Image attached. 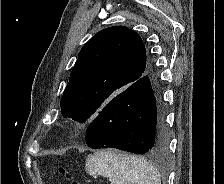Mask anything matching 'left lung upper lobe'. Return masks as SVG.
<instances>
[{
	"label": "left lung upper lobe",
	"instance_id": "left-lung-upper-lobe-1",
	"mask_svg": "<svg viewBox=\"0 0 224 184\" xmlns=\"http://www.w3.org/2000/svg\"><path fill=\"white\" fill-rule=\"evenodd\" d=\"M150 70L135 31L125 26L99 31L79 53L61 99L63 117L84 123Z\"/></svg>",
	"mask_w": 224,
	"mask_h": 184
}]
</instances>
